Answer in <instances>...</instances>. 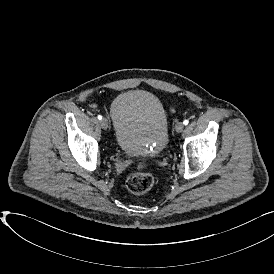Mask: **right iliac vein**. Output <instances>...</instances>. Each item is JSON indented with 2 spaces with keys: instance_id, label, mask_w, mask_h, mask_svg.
Returning <instances> with one entry per match:
<instances>
[{
  "instance_id": "63e3f726",
  "label": "right iliac vein",
  "mask_w": 274,
  "mask_h": 274,
  "mask_svg": "<svg viewBox=\"0 0 274 274\" xmlns=\"http://www.w3.org/2000/svg\"><path fill=\"white\" fill-rule=\"evenodd\" d=\"M101 127L106 130L109 126L108 120L106 118H103L100 122Z\"/></svg>"
}]
</instances>
